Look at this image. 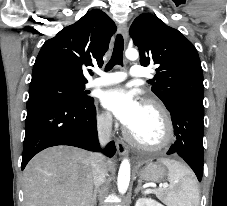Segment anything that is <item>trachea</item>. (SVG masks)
I'll return each mask as SVG.
<instances>
[{"label": "trachea", "mask_w": 227, "mask_h": 206, "mask_svg": "<svg viewBox=\"0 0 227 206\" xmlns=\"http://www.w3.org/2000/svg\"><path fill=\"white\" fill-rule=\"evenodd\" d=\"M124 40L121 34H118L115 40L112 57L105 67L106 71L111 70L115 65L123 64Z\"/></svg>", "instance_id": "trachea-1"}]
</instances>
